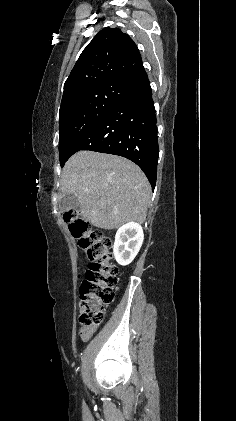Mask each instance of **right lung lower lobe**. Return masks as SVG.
Segmentation results:
<instances>
[{
	"instance_id": "right-lung-lower-lobe-1",
	"label": "right lung lower lobe",
	"mask_w": 236,
	"mask_h": 421,
	"mask_svg": "<svg viewBox=\"0 0 236 421\" xmlns=\"http://www.w3.org/2000/svg\"><path fill=\"white\" fill-rule=\"evenodd\" d=\"M126 95L78 141L73 154L91 150L136 163L154 189L157 177V120L152 89L144 68L123 79Z\"/></svg>"
}]
</instances>
